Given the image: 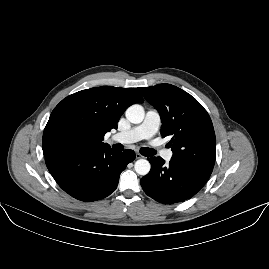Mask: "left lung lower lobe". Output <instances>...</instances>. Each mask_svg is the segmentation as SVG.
Returning <instances> with one entry per match:
<instances>
[{
    "label": "left lung lower lobe",
    "instance_id": "left-lung-lower-lobe-1",
    "mask_svg": "<svg viewBox=\"0 0 269 269\" xmlns=\"http://www.w3.org/2000/svg\"><path fill=\"white\" fill-rule=\"evenodd\" d=\"M148 160L151 170L141 179V186L148 196L163 204L183 202L193 197L211 174L174 160L165 165L161 157H151Z\"/></svg>",
    "mask_w": 269,
    "mask_h": 269
}]
</instances>
